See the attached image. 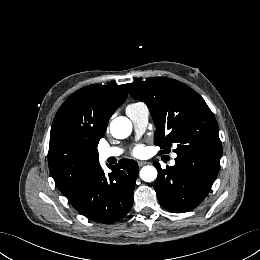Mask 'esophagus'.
<instances>
[{
  "mask_svg": "<svg viewBox=\"0 0 260 260\" xmlns=\"http://www.w3.org/2000/svg\"><path fill=\"white\" fill-rule=\"evenodd\" d=\"M146 164H148V162H146V161H138L139 167H142V166H144Z\"/></svg>",
  "mask_w": 260,
  "mask_h": 260,
  "instance_id": "obj_1",
  "label": "esophagus"
}]
</instances>
